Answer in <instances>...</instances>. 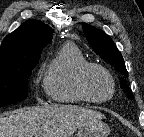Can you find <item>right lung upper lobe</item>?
I'll list each match as a JSON object with an SVG mask.
<instances>
[{
  "label": "right lung upper lobe",
  "mask_w": 144,
  "mask_h": 137,
  "mask_svg": "<svg viewBox=\"0 0 144 137\" xmlns=\"http://www.w3.org/2000/svg\"><path fill=\"white\" fill-rule=\"evenodd\" d=\"M53 29L39 20H28L7 35L0 46V65L40 58L41 50L50 43Z\"/></svg>",
  "instance_id": "1"
}]
</instances>
